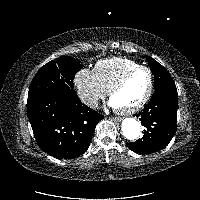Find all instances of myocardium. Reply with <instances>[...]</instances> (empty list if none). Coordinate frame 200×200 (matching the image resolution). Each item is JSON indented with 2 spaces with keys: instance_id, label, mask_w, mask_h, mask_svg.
<instances>
[{
  "instance_id": "myocardium-1",
  "label": "myocardium",
  "mask_w": 200,
  "mask_h": 200,
  "mask_svg": "<svg viewBox=\"0 0 200 200\" xmlns=\"http://www.w3.org/2000/svg\"><path fill=\"white\" fill-rule=\"evenodd\" d=\"M146 71L149 74V86L145 96L135 105L127 107V108H117L116 110L123 115H130L136 113L141 110L150 100L153 90H154V75L152 70L146 66H137L127 73H125L119 80H117L110 88H109V98L111 99L115 92H117L121 87L125 85V83L130 79L138 71Z\"/></svg>"
}]
</instances>
